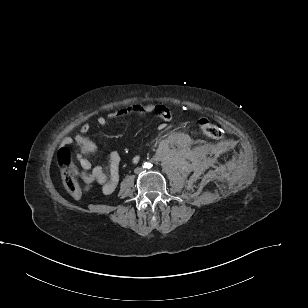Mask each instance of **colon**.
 Returning <instances> with one entry per match:
<instances>
[{
    "instance_id": "obj_1",
    "label": "colon",
    "mask_w": 308,
    "mask_h": 308,
    "mask_svg": "<svg viewBox=\"0 0 308 308\" xmlns=\"http://www.w3.org/2000/svg\"><path fill=\"white\" fill-rule=\"evenodd\" d=\"M199 128L204 135L211 139H221V130L206 118L199 120ZM58 163L61 166L62 180L65 189L74 197L82 196V189L78 181V169L73 162L70 150L63 146L57 153Z\"/></svg>"
}]
</instances>
